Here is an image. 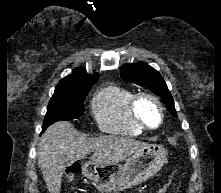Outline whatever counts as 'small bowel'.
<instances>
[{"mask_svg":"<svg viewBox=\"0 0 221 193\" xmlns=\"http://www.w3.org/2000/svg\"><path fill=\"white\" fill-rule=\"evenodd\" d=\"M159 193H165V189L162 188Z\"/></svg>","mask_w":221,"mask_h":193,"instance_id":"small-bowel-1","label":"small bowel"}]
</instances>
